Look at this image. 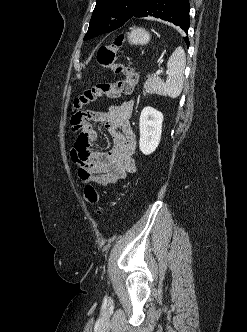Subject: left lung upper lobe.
Returning a JSON list of instances; mask_svg holds the SVG:
<instances>
[{
	"label": "left lung upper lobe",
	"instance_id": "1",
	"mask_svg": "<svg viewBox=\"0 0 247 332\" xmlns=\"http://www.w3.org/2000/svg\"><path fill=\"white\" fill-rule=\"evenodd\" d=\"M146 0H97L84 40L122 27Z\"/></svg>",
	"mask_w": 247,
	"mask_h": 332
}]
</instances>
